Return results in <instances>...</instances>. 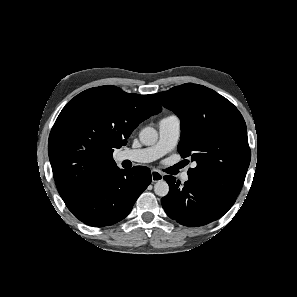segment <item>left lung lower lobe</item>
Wrapping results in <instances>:
<instances>
[{"label":"left lung lower lobe","instance_id":"1","mask_svg":"<svg viewBox=\"0 0 297 297\" xmlns=\"http://www.w3.org/2000/svg\"><path fill=\"white\" fill-rule=\"evenodd\" d=\"M169 193L161 204L167 215L185 226H202L221 218L233 204L188 180L184 185L173 176H164Z\"/></svg>","mask_w":297,"mask_h":297}]
</instances>
